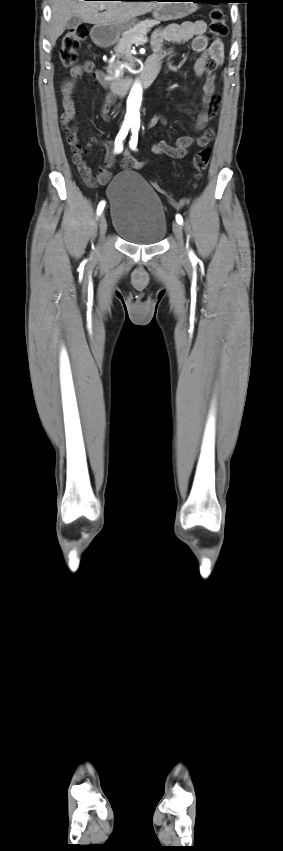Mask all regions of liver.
Instances as JSON below:
<instances>
[{
  "mask_svg": "<svg viewBox=\"0 0 283 851\" xmlns=\"http://www.w3.org/2000/svg\"><path fill=\"white\" fill-rule=\"evenodd\" d=\"M163 3L154 1H84L52 0L49 37L54 46L58 37L65 31L69 19L73 16L84 22L96 25L122 23L144 15ZM105 12L99 13L101 7Z\"/></svg>",
  "mask_w": 283,
  "mask_h": 851,
  "instance_id": "1",
  "label": "liver"
}]
</instances>
